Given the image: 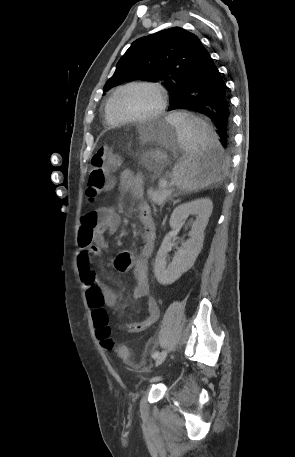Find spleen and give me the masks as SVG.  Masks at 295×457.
Instances as JSON below:
<instances>
[{"mask_svg":"<svg viewBox=\"0 0 295 457\" xmlns=\"http://www.w3.org/2000/svg\"><path fill=\"white\" fill-rule=\"evenodd\" d=\"M177 129L185 156L173 169L175 185L186 191H198L227 173L223 149L213 128L202 119L175 112L166 117Z\"/></svg>","mask_w":295,"mask_h":457,"instance_id":"1","label":"spleen"}]
</instances>
